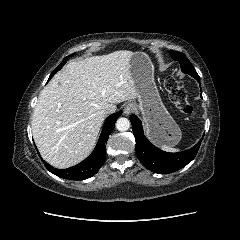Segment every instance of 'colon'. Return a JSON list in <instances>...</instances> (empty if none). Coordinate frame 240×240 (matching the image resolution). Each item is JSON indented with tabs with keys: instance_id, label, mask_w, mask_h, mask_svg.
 <instances>
[{
	"instance_id": "5ec220e1",
	"label": "colon",
	"mask_w": 240,
	"mask_h": 240,
	"mask_svg": "<svg viewBox=\"0 0 240 240\" xmlns=\"http://www.w3.org/2000/svg\"><path fill=\"white\" fill-rule=\"evenodd\" d=\"M165 88L168 91L169 98L172 103L184 114L194 116L196 109L192 106L188 99L181 82L171 74L165 79Z\"/></svg>"
}]
</instances>
